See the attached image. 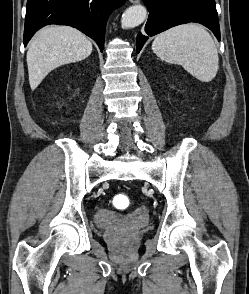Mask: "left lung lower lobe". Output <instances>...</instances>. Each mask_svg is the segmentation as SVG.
Wrapping results in <instances>:
<instances>
[{
	"label": "left lung lower lobe",
	"instance_id": "1",
	"mask_svg": "<svg viewBox=\"0 0 249 294\" xmlns=\"http://www.w3.org/2000/svg\"><path fill=\"white\" fill-rule=\"evenodd\" d=\"M150 10L145 33H138L136 51L140 52L149 36L173 26L197 22L209 28L220 41L215 0H143Z\"/></svg>",
	"mask_w": 249,
	"mask_h": 294
}]
</instances>
